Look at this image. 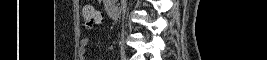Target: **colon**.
<instances>
[{"label":"colon","instance_id":"5ec220e1","mask_svg":"<svg viewBox=\"0 0 267 60\" xmlns=\"http://www.w3.org/2000/svg\"><path fill=\"white\" fill-rule=\"evenodd\" d=\"M83 26L86 30H92L101 23L102 13L94 6H86L82 12Z\"/></svg>","mask_w":267,"mask_h":60}]
</instances>
